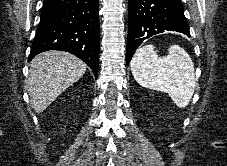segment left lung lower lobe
Instances as JSON below:
<instances>
[{
	"label": "left lung lower lobe",
	"instance_id": "0a47b994",
	"mask_svg": "<svg viewBox=\"0 0 227 166\" xmlns=\"http://www.w3.org/2000/svg\"><path fill=\"white\" fill-rule=\"evenodd\" d=\"M128 3L127 65L139 45L154 35L176 31L190 37L181 0H128Z\"/></svg>",
	"mask_w": 227,
	"mask_h": 166
}]
</instances>
